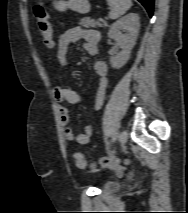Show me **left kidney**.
Wrapping results in <instances>:
<instances>
[{"label": "left kidney", "mask_w": 188, "mask_h": 213, "mask_svg": "<svg viewBox=\"0 0 188 213\" xmlns=\"http://www.w3.org/2000/svg\"><path fill=\"white\" fill-rule=\"evenodd\" d=\"M139 28V16L136 13H129L111 25L108 36L114 39L122 48L120 53L110 57V64L113 68L119 69L129 60L138 37ZM121 31H126L127 33L122 34Z\"/></svg>", "instance_id": "obj_1"}]
</instances>
